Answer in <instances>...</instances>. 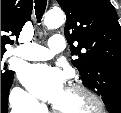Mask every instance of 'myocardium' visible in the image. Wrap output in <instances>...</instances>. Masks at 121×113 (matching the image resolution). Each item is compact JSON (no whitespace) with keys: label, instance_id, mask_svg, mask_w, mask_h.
Listing matches in <instances>:
<instances>
[{"label":"myocardium","instance_id":"obj_1","mask_svg":"<svg viewBox=\"0 0 121 113\" xmlns=\"http://www.w3.org/2000/svg\"><path fill=\"white\" fill-rule=\"evenodd\" d=\"M68 88L72 91L82 94L84 97H86L89 101H91L94 104L95 111L90 113H101L102 111H104L105 105L102 99L86 86L82 84L71 83L68 85ZM52 108L56 113H67L58 110L55 106H52Z\"/></svg>","mask_w":121,"mask_h":113}]
</instances>
